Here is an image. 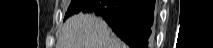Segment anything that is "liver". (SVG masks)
Segmentation results:
<instances>
[{"label": "liver", "mask_w": 213, "mask_h": 48, "mask_svg": "<svg viewBox=\"0 0 213 48\" xmlns=\"http://www.w3.org/2000/svg\"><path fill=\"white\" fill-rule=\"evenodd\" d=\"M56 48H126L101 18L93 14L70 17L62 26Z\"/></svg>", "instance_id": "liver-1"}]
</instances>
